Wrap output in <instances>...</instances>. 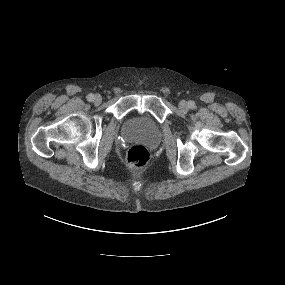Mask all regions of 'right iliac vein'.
<instances>
[{
    "label": "right iliac vein",
    "instance_id": "right-iliac-vein-1",
    "mask_svg": "<svg viewBox=\"0 0 285 285\" xmlns=\"http://www.w3.org/2000/svg\"><path fill=\"white\" fill-rule=\"evenodd\" d=\"M101 101H102V98H101L100 95H95V96H94V103H95L96 105H99V104L101 103Z\"/></svg>",
    "mask_w": 285,
    "mask_h": 285
}]
</instances>
